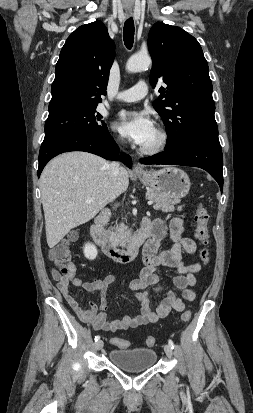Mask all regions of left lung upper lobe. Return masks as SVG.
I'll use <instances>...</instances> for the list:
<instances>
[{"instance_id": "obj_1", "label": "left lung upper lobe", "mask_w": 253, "mask_h": 413, "mask_svg": "<svg viewBox=\"0 0 253 413\" xmlns=\"http://www.w3.org/2000/svg\"><path fill=\"white\" fill-rule=\"evenodd\" d=\"M150 84L163 81L153 102L168 138L166 149L196 139L219 141L209 68L198 41L180 27L155 23L148 35Z\"/></svg>"}]
</instances>
